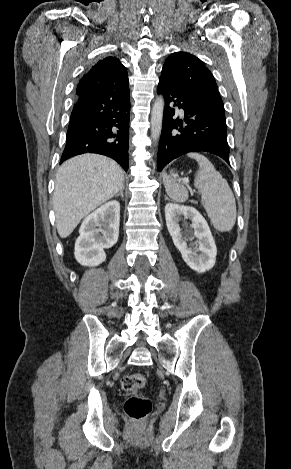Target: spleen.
I'll use <instances>...</instances> for the list:
<instances>
[{"mask_svg":"<svg viewBox=\"0 0 291 469\" xmlns=\"http://www.w3.org/2000/svg\"><path fill=\"white\" fill-rule=\"evenodd\" d=\"M190 158L199 164L194 186L202 195L201 202L214 228L220 232L232 230L237 216L236 202L231 188L214 165L202 154L190 153ZM166 193L176 202L188 199V190L175 182L166 173L163 174Z\"/></svg>","mask_w":291,"mask_h":469,"instance_id":"3e777b00","label":"spleen"}]
</instances>
